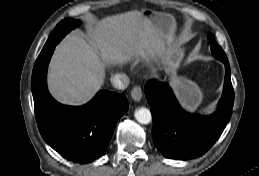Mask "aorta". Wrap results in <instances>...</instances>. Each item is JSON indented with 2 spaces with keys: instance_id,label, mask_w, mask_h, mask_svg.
Returning <instances> with one entry per match:
<instances>
[{
  "instance_id": "aorta-1",
  "label": "aorta",
  "mask_w": 259,
  "mask_h": 176,
  "mask_svg": "<svg viewBox=\"0 0 259 176\" xmlns=\"http://www.w3.org/2000/svg\"><path fill=\"white\" fill-rule=\"evenodd\" d=\"M135 118L141 124H149L152 120V115L149 109L141 107L135 111Z\"/></svg>"
}]
</instances>
